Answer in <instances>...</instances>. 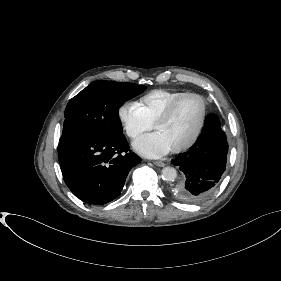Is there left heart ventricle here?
Listing matches in <instances>:
<instances>
[{
    "mask_svg": "<svg viewBox=\"0 0 281 281\" xmlns=\"http://www.w3.org/2000/svg\"><path fill=\"white\" fill-rule=\"evenodd\" d=\"M201 116V103L189 97L181 101L172 114L156 126L171 149L187 142L195 132Z\"/></svg>",
    "mask_w": 281,
    "mask_h": 281,
    "instance_id": "b2bd125f",
    "label": "left heart ventricle"
}]
</instances>
